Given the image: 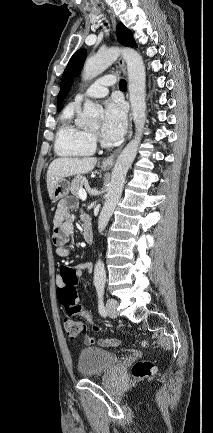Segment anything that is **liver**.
<instances>
[{
  "instance_id": "liver-1",
  "label": "liver",
  "mask_w": 213,
  "mask_h": 433,
  "mask_svg": "<svg viewBox=\"0 0 213 433\" xmlns=\"http://www.w3.org/2000/svg\"><path fill=\"white\" fill-rule=\"evenodd\" d=\"M96 163L97 159L95 157H85L81 159L61 157L53 160L47 171V189L49 196H51L55 186L61 179L89 173L93 170Z\"/></svg>"
}]
</instances>
